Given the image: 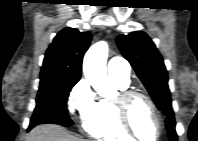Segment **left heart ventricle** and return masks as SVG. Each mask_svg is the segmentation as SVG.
<instances>
[{
  "instance_id": "obj_1",
  "label": "left heart ventricle",
  "mask_w": 198,
  "mask_h": 141,
  "mask_svg": "<svg viewBox=\"0 0 198 141\" xmlns=\"http://www.w3.org/2000/svg\"><path fill=\"white\" fill-rule=\"evenodd\" d=\"M130 120L138 137L144 141H153L157 135L154 115L143 99L133 101L130 109Z\"/></svg>"
}]
</instances>
